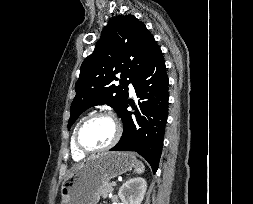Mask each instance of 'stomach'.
I'll use <instances>...</instances> for the list:
<instances>
[{"instance_id": "1", "label": "stomach", "mask_w": 253, "mask_h": 204, "mask_svg": "<svg viewBox=\"0 0 253 204\" xmlns=\"http://www.w3.org/2000/svg\"><path fill=\"white\" fill-rule=\"evenodd\" d=\"M129 152H105L88 158L71 170L61 187V204H97L99 189L135 166Z\"/></svg>"}]
</instances>
